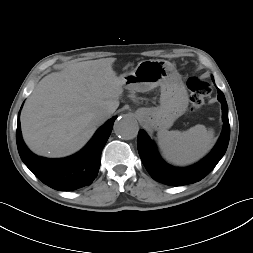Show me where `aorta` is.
Returning a JSON list of instances; mask_svg holds the SVG:
<instances>
[{"label":"aorta","instance_id":"obj_1","mask_svg":"<svg viewBox=\"0 0 253 253\" xmlns=\"http://www.w3.org/2000/svg\"><path fill=\"white\" fill-rule=\"evenodd\" d=\"M139 125L137 120L130 115H123L117 118L114 124V132L122 139H133L137 136Z\"/></svg>","mask_w":253,"mask_h":253}]
</instances>
